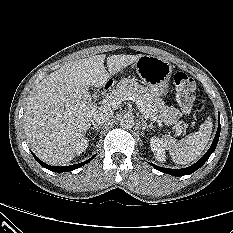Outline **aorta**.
Returning a JSON list of instances; mask_svg holds the SVG:
<instances>
[{"label": "aorta", "instance_id": "obj_1", "mask_svg": "<svg viewBox=\"0 0 233 233\" xmlns=\"http://www.w3.org/2000/svg\"><path fill=\"white\" fill-rule=\"evenodd\" d=\"M119 123L122 128L130 129L134 126V119L129 115H124L120 117Z\"/></svg>", "mask_w": 233, "mask_h": 233}]
</instances>
